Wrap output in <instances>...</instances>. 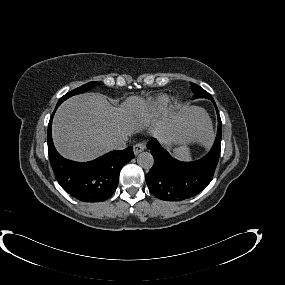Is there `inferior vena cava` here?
<instances>
[{
	"label": "inferior vena cava",
	"instance_id": "602c4592",
	"mask_svg": "<svg viewBox=\"0 0 285 285\" xmlns=\"http://www.w3.org/2000/svg\"><path fill=\"white\" fill-rule=\"evenodd\" d=\"M127 142H128V137L125 135L115 137L109 142V148L111 150H123L126 148Z\"/></svg>",
	"mask_w": 285,
	"mask_h": 285
}]
</instances>
